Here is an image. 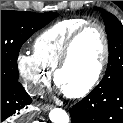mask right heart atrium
Listing matches in <instances>:
<instances>
[{"label": "right heart atrium", "mask_w": 123, "mask_h": 123, "mask_svg": "<svg viewBox=\"0 0 123 123\" xmlns=\"http://www.w3.org/2000/svg\"><path fill=\"white\" fill-rule=\"evenodd\" d=\"M16 67L30 93H38L41 87L48 83L51 73L32 53L19 52L16 56Z\"/></svg>", "instance_id": "d8ad5b80"}]
</instances>
